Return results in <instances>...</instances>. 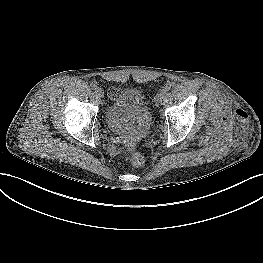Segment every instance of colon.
<instances>
[{
	"instance_id": "colon-1",
	"label": "colon",
	"mask_w": 263,
	"mask_h": 263,
	"mask_svg": "<svg viewBox=\"0 0 263 263\" xmlns=\"http://www.w3.org/2000/svg\"><path fill=\"white\" fill-rule=\"evenodd\" d=\"M111 94H114V90H111ZM125 158L133 165V166H141L144 162V158L142 154L138 151L130 150L125 152Z\"/></svg>"
}]
</instances>
